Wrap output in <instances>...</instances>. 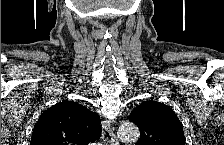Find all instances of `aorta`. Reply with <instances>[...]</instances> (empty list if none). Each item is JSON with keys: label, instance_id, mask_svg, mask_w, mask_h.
Wrapping results in <instances>:
<instances>
[{"label": "aorta", "instance_id": "obj_1", "mask_svg": "<svg viewBox=\"0 0 224 145\" xmlns=\"http://www.w3.org/2000/svg\"><path fill=\"white\" fill-rule=\"evenodd\" d=\"M118 136L125 144H135L140 136L138 127L133 123H124L118 129Z\"/></svg>", "mask_w": 224, "mask_h": 145}]
</instances>
